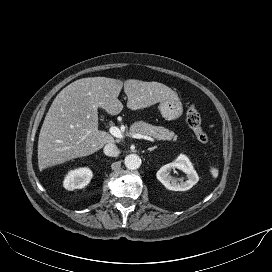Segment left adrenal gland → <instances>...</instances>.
<instances>
[{
	"instance_id": "left-adrenal-gland-1",
	"label": "left adrenal gland",
	"mask_w": 272,
	"mask_h": 272,
	"mask_svg": "<svg viewBox=\"0 0 272 272\" xmlns=\"http://www.w3.org/2000/svg\"><path fill=\"white\" fill-rule=\"evenodd\" d=\"M156 148H157V146L152 147V148H149L148 151H149V152L154 151Z\"/></svg>"
}]
</instances>
